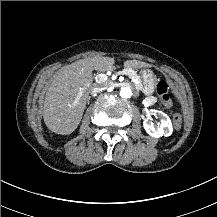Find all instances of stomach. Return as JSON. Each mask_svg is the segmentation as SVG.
I'll list each match as a JSON object with an SVG mask.
<instances>
[{
    "mask_svg": "<svg viewBox=\"0 0 217 217\" xmlns=\"http://www.w3.org/2000/svg\"><path fill=\"white\" fill-rule=\"evenodd\" d=\"M141 76H142L141 91L145 96H151L157 88L158 80L156 79L154 73L149 69L142 71Z\"/></svg>",
    "mask_w": 217,
    "mask_h": 217,
    "instance_id": "stomach-1",
    "label": "stomach"
}]
</instances>
